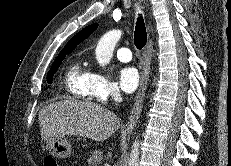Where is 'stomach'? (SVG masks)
I'll return each instance as SVG.
<instances>
[{"instance_id": "1", "label": "stomach", "mask_w": 231, "mask_h": 166, "mask_svg": "<svg viewBox=\"0 0 231 166\" xmlns=\"http://www.w3.org/2000/svg\"><path fill=\"white\" fill-rule=\"evenodd\" d=\"M48 151L57 158H67L71 155L70 142L64 137H53L47 140Z\"/></svg>"}]
</instances>
